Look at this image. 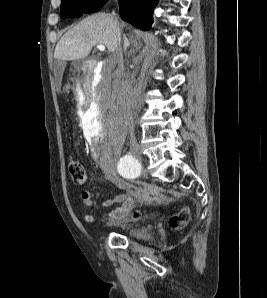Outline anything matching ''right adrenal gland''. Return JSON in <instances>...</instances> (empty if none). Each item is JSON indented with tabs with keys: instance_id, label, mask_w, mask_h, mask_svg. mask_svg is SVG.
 <instances>
[{
	"instance_id": "obj_1",
	"label": "right adrenal gland",
	"mask_w": 267,
	"mask_h": 298,
	"mask_svg": "<svg viewBox=\"0 0 267 298\" xmlns=\"http://www.w3.org/2000/svg\"><path fill=\"white\" fill-rule=\"evenodd\" d=\"M123 40H124V51H126L127 47L130 45V41L128 40L125 34L123 35Z\"/></svg>"
}]
</instances>
